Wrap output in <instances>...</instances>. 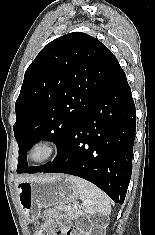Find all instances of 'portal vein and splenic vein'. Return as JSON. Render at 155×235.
<instances>
[{
    "label": "portal vein and splenic vein",
    "instance_id": "portal-vein-and-splenic-vein-1",
    "mask_svg": "<svg viewBox=\"0 0 155 235\" xmlns=\"http://www.w3.org/2000/svg\"><path fill=\"white\" fill-rule=\"evenodd\" d=\"M74 209L77 210V209H78V206H74Z\"/></svg>",
    "mask_w": 155,
    "mask_h": 235
}]
</instances>
